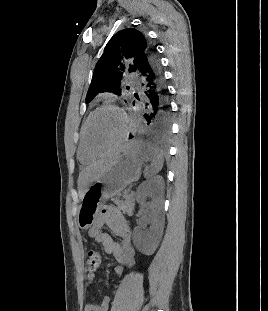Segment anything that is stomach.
Here are the masks:
<instances>
[{"label":"stomach","instance_id":"1","mask_svg":"<svg viewBox=\"0 0 268 311\" xmlns=\"http://www.w3.org/2000/svg\"><path fill=\"white\" fill-rule=\"evenodd\" d=\"M147 154V146L126 147L116 156L103 174L91 183L82 195L77 211V224L89 229L108 199L118 195L141 176V167Z\"/></svg>","mask_w":268,"mask_h":311}]
</instances>
